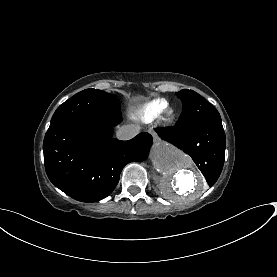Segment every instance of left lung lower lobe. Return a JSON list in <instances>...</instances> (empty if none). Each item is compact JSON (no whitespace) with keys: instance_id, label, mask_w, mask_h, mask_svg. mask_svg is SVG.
<instances>
[{"instance_id":"1","label":"left lung lower lobe","mask_w":277,"mask_h":277,"mask_svg":"<svg viewBox=\"0 0 277 277\" xmlns=\"http://www.w3.org/2000/svg\"><path fill=\"white\" fill-rule=\"evenodd\" d=\"M157 134L190 155L210 186L220 176L225 158V133L221 121L157 128Z\"/></svg>"}]
</instances>
